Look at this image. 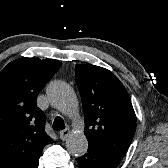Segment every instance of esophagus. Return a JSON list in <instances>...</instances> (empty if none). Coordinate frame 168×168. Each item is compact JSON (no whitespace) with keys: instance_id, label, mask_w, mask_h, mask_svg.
Instances as JSON below:
<instances>
[{"instance_id":"34e87169","label":"esophagus","mask_w":168,"mask_h":168,"mask_svg":"<svg viewBox=\"0 0 168 168\" xmlns=\"http://www.w3.org/2000/svg\"><path fill=\"white\" fill-rule=\"evenodd\" d=\"M70 133H71V130L67 127L66 129H64L60 132V134H59L60 139L63 140V141L67 140Z\"/></svg>"}]
</instances>
